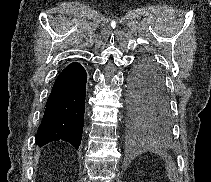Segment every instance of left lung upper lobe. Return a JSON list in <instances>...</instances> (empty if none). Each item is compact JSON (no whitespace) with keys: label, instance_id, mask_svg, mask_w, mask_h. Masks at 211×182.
<instances>
[{"label":"left lung upper lobe","instance_id":"1","mask_svg":"<svg viewBox=\"0 0 211 182\" xmlns=\"http://www.w3.org/2000/svg\"><path fill=\"white\" fill-rule=\"evenodd\" d=\"M148 128V127H147ZM149 129V131L152 133V131H151V129L150 128H148Z\"/></svg>","mask_w":211,"mask_h":182}]
</instances>
